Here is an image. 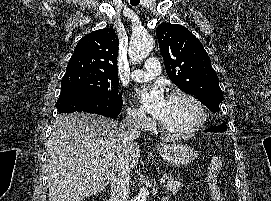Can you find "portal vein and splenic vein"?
I'll list each match as a JSON object with an SVG mask.
<instances>
[{
    "label": "portal vein and splenic vein",
    "mask_w": 271,
    "mask_h": 201,
    "mask_svg": "<svg viewBox=\"0 0 271 201\" xmlns=\"http://www.w3.org/2000/svg\"><path fill=\"white\" fill-rule=\"evenodd\" d=\"M97 162V161H96ZM166 179L165 178H161L160 179V183H165Z\"/></svg>",
    "instance_id": "portal-vein-and-splenic-vein-1"
}]
</instances>
